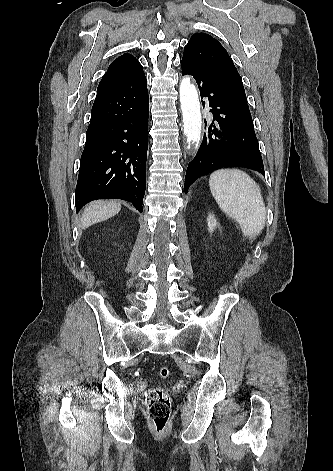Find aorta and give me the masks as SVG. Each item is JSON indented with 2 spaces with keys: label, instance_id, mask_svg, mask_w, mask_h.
Returning a JSON list of instances; mask_svg holds the SVG:
<instances>
[{
  "label": "aorta",
  "instance_id": "aorta-1",
  "mask_svg": "<svg viewBox=\"0 0 333 471\" xmlns=\"http://www.w3.org/2000/svg\"><path fill=\"white\" fill-rule=\"evenodd\" d=\"M180 102L184 124V135L189 144L198 145L201 139L202 118L198 93L190 83V77H183L180 87Z\"/></svg>",
  "mask_w": 333,
  "mask_h": 471
}]
</instances>
